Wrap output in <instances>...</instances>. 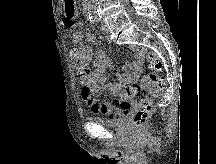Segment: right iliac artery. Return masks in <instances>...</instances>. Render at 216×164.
I'll return each mask as SVG.
<instances>
[{"mask_svg":"<svg viewBox=\"0 0 216 164\" xmlns=\"http://www.w3.org/2000/svg\"><path fill=\"white\" fill-rule=\"evenodd\" d=\"M90 21H91L92 23H96V22H98V18L90 19Z\"/></svg>","mask_w":216,"mask_h":164,"instance_id":"1","label":"right iliac artery"}]
</instances>
